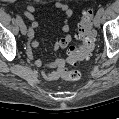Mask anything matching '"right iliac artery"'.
<instances>
[{
    "mask_svg": "<svg viewBox=\"0 0 119 119\" xmlns=\"http://www.w3.org/2000/svg\"><path fill=\"white\" fill-rule=\"evenodd\" d=\"M16 22L20 25L23 21L19 15L16 16Z\"/></svg>",
    "mask_w": 119,
    "mask_h": 119,
    "instance_id": "obj_1",
    "label": "right iliac artery"
}]
</instances>
